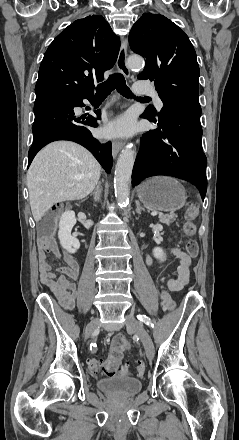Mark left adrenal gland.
Returning a JSON list of instances; mask_svg holds the SVG:
<instances>
[{
	"label": "left adrenal gland",
	"instance_id": "left-adrenal-gland-1",
	"mask_svg": "<svg viewBox=\"0 0 239 440\" xmlns=\"http://www.w3.org/2000/svg\"><path fill=\"white\" fill-rule=\"evenodd\" d=\"M136 204H137V210H136V212H137V214H141V210H144V208H140V204H139V202H136Z\"/></svg>",
	"mask_w": 239,
	"mask_h": 440
}]
</instances>
